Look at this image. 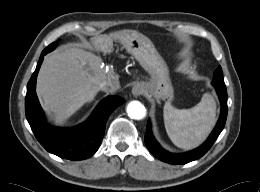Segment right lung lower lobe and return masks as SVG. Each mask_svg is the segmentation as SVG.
<instances>
[{
  "label": "right lung lower lobe",
  "instance_id": "98d812e1",
  "mask_svg": "<svg viewBox=\"0 0 260 192\" xmlns=\"http://www.w3.org/2000/svg\"><path fill=\"white\" fill-rule=\"evenodd\" d=\"M47 53L43 50L36 70L27 85L25 98L27 120L37 140L50 153L70 160L89 158L98 150L102 142L108 117L115 108L124 103V100L117 96H108L99 103L85 123L73 128L50 127L44 120L35 92L37 74Z\"/></svg>",
  "mask_w": 260,
  "mask_h": 192
}]
</instances>
